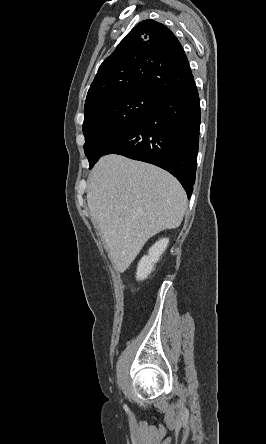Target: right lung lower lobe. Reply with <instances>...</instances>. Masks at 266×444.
Masks as SVG:
<instances>
[{"mask_svg":"<svg viewBox=\"0 0 266 444\" xmlns=\"http://www.w3.org/2000/svg\"><path fill=\"white\" fill-rule=\"evenodd\" d=\"M200 127V100L195 81L157 101L151 112L105 148L154 164L174 175L190 198L195 183Z\"/></svg>","mask_w":266,"mask_h":444,"instance_id":"obj_1","label":"right lung lower lobe"}]
</instances>
